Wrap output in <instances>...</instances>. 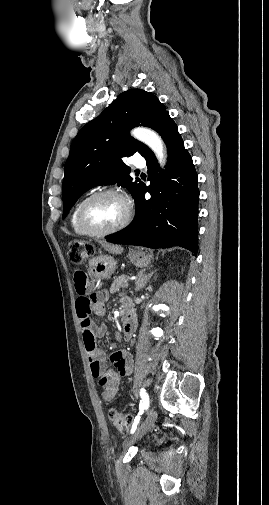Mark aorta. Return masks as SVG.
Segmentation results:
<instances>
[{"instance_id":"obj_1","label":"aorta","mask_w":269,"mask_h":505,"mask_svg":"<svg viewBox=\"0 0 269 505\" xmlns=\"http://www.w3.org/2000/svg\"><path fill=\"white\" fill-rule=\"evenodd\" d=\"M132 135L146 144L156 155L161 166L165 164L164 143L160 136L148 128H135Z\"/></svg>"}]
</instances>
